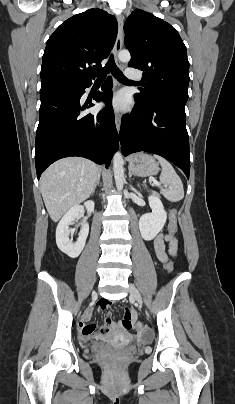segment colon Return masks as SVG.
I'll return each instance as SVG.
<instances>
[{"instance_id": "colon-1", "label": "colon", "mask_w": 235, "mask_h": 404, "mask_svg": "<svg viewBox=\"0 0 235 404\" xmlns=\"http://www.w3.org/2000/svg\"><path fill=\"white\" fill-rule=\"evenodd\" d=\"M175 213H176V211L173 209L171 211V218H170V222H169V226H168V231H169L170 235H174L177 231V220L175 217ZM165 267L168 272H172L173 264L170 260H167ZM121 323H122V326L127 330H130L133 328H136V329L140 328V324L134 321L133 316L129 309H125Z\"/></svg>"}]
</instances>
